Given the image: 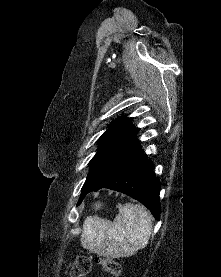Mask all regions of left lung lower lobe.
Returning <instances> with one entry per match:
<instances>
[{"label":"left lung lower lobe","instance_id":"1","mask_svg":"<svg viewBox=\"0 0 221 277\" xmlns=\"http://www.w3.org/2000/svg\"><path fill=\"white\" fill-rule=\"evenodd\" d=\"M108 188L124 193L145 205L155 216L160 218L159 180L153 173V164L140 151L128 164L112 176L99 183L87 186L82 191L79 203L91 191Z\"/></svg>","mask_w":221,"mask_h":277}]
</instances>
